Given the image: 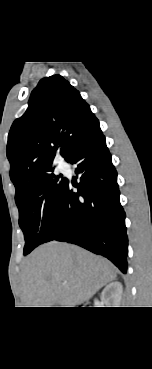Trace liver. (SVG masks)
Here are the masks:
<instances>
[{"label": "liver", "instance_id": "obj_1", "mask_svg": "<svg viewBox=\"0 0 152 369\" xmlns=\"http://www.w3.org/2000/svg\"><path fill=\"white\" fill-rule=\"evenodd\" d=\"M115 278L106 259L53 241L35 249L24 263L23 302L25 307H75Z\"/></svg>", "mask_w": 152, "mask_h": 369}]
</instances>
